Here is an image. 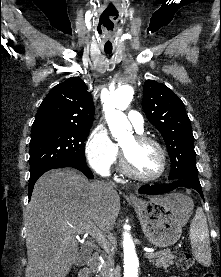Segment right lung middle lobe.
Listing matches in <instances>:
<instances>
[{
	"label": "right lung middle lobe",
	"mask_w": 221,
	"mask_h": 277,
	"mask_svg": "<svg viewBox=\"0 0 221 277\" xmlns=\"http://www.w3.org/2000/svg\"><path fill=\"white\" fill-rule=\"evenodd\" d=\"M91 126L32 127L30 141V177L55 168L63 163H86L84 141Z\"/></svg>",
	"instance_id": "dd1d6c3e"
}]
</instances>
